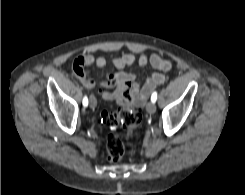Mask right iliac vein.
<instances>
[{
	"label": "right iliac vein",
	"instance_id": "right-iliac-vein-1",
	"mask_svg": "<svg viewBox=\"0 0 245 195\" xmlns=\"http://www.w3.org/2000/svg\"><path fill=\"white\" fill-rule=\"evenodd\" d=\"M96 105H97V101H96L95 97L94 96H91L90 97V107L91 108H95Z\"/></svg>",
	"mask_w": 245,
	"mask_h": 195
}]
</instances>
